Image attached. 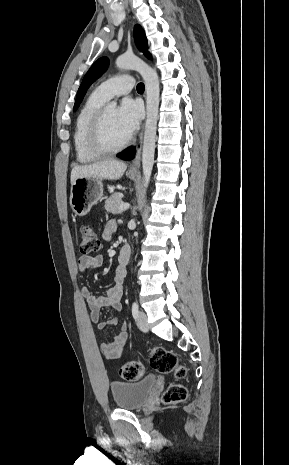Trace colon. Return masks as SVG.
<instances>
[{"mask_svg":"<svg viewBox=\"0 0 289 465\" xmlns=\"http://www.w3.org/2000/svg\"><path fill=\"white\" fill-rule=\"evenodd\" d=\"M102 244L94 228L85 225L80 234V250L84 254L97 252L101 249ZM151 367L162 374L173 373L176 378H184L187 369L180 364L176 354L163 347H155L150 356ZM146 374V366L140 359H131L125 362L119 369V375L126 381H138ZM186 398V389L180 384L171 385L165 392L163 399L167 403L181 402Z\"/></svg>","mask_w":289,"mask_h":465,"instance_id":"colon-1","label":"colon"}]
</instances>
